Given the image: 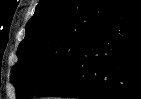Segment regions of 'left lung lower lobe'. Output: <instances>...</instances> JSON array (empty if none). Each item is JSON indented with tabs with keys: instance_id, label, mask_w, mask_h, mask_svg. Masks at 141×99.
<instances>
[{
	"instance_id": "0a47b994",
	"label": "left lung lower lobe",
	"mask_w": 141,
	"mask_h": 99,
	"mask_svg": "<svg viewBox=\"0 0 141 99\" xmlns=\"http://www.w3.org/2000/svg\"><path fill=\"white\" fill-rule=\"evenodd\" d=\"M41 96L141 99V0H120Z\"/></svg>"
}]
</instances>
